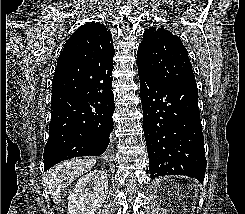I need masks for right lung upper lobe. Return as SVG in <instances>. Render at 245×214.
I'll return each instance as SVG.
<instances>
[{"instance_id": "1", "label": "right lung upper lobe", "mask_w": 245, "mask_h": 214, "mask_svg": "<svg viewBox=\"0 0 245 214\" xmlns=\"http://www.w3.org/2000/svg\"><path fill=\"white\" fill-rule=\"evenodd\" d=\"M110 31L100 23H86L66 41L57 60L52 91L73 93L87 87L95 70L113 65Z\"/></svg>"}]
</instances>
